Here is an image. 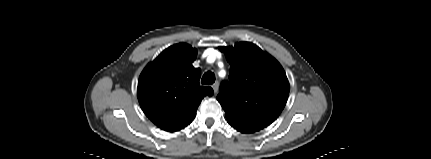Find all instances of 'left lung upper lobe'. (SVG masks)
Masks as SVG:
<instances>
[{
  "instance_id": "1",
  "label": "left lung upper lobe",
  "mask_w": 431,
  "mask_h": 159,
  "mask_svg": "<svg viewBox=\"0 0 431 159\" xmlns=\"http://www.w3.org/2000/svg\"><path fill=\"white\" fill-rule=\"evenodd\" d=\"M230 63V83L223 82L217 100L228 123L242 133L259 131L285 107L289 82L282 66L250 42L219 47Z\"/></svg>"
}]
</instances>
